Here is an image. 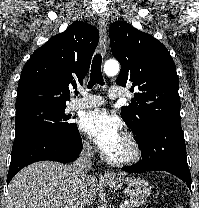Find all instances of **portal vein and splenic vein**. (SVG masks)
<instances>
[{
    "instance_id": "obj_1",
    "label": "portal vein and splenic vein",
    "mask_w": 199,
    "mask_h": 208,
    "mask_svg": "<svg viewBox=\"0 0 199 208\" xmlns=\"http://www.w3.org/2000/svg\"><path fill=\"white\" fill-rule=\"evenodd\" d=\"M125 207H126V204L120 205V208H125Z\"/></svg>"
}]
</instances>
